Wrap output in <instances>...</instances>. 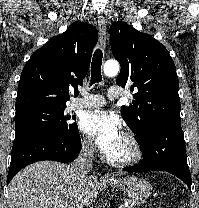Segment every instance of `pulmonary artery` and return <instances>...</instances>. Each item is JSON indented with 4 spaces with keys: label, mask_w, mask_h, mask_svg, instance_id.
Returning a JSON list of instances; mask_svg holds the SVG:
<instances>
[{
    "label": "pulmonary artery",
    "mask_w": 199,
    "mask_h": 208,
    "mask_svg": "<svg viewBox=\"0 0 199 208\" xmlns=\"http://www.w3.org/2000/svg\"><path fill=\"white\" fill-rule=\"evenodd\" d=\"M124 91L120 88L112 87L106 97L99 94H89L86 92L81 93V96L75 97L70 102L71 110H80L86 108L100 107L106 104V99H117L124 95Z\"/></svg>",
    "instance_id": "1"
}]
</instances>
